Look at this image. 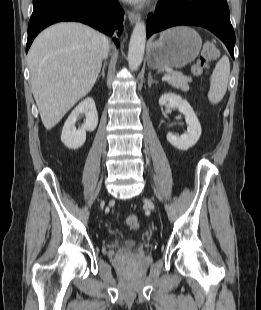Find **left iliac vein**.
I'll use <instances>...</instances> for the list:
<instances>
[{
  "label": "left iliac vein",
  "mask_w": 261,
  "mask_h": 310,
  "mask_svg": "<svg viewBox=\"0 0 261 310\" xmlns=\"http://www.w3.org/2000/svg\"><path fill=\"white\" fill-rule=\"evenodd\" d=\"M145 203L148 205V207L150 209H152V210L154 209V205L149 199H145Z\"/></svg>",
  "instance_id": "obj_1"
}]
</instances>
